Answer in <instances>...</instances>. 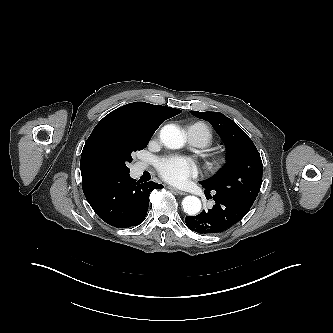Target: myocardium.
<instances>
[{
  "mask_svg": "<svg viewBox=\"0 0 333 333\" xmlns=\"http://www.w3.org/2000/svg\"><path fill=\"white\" fill-rule=\"evenodd\" d=\"M226 162H227L226 157L218 156L212 160L211 167L214 170H220L225 166Z\"/></svg>",
  "mask_w": 333,
  "mask_h": 333,
  "instance_id": "f54148a6",
  "label": "myocardium"
}]
</instances>
